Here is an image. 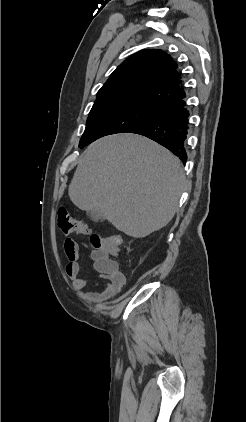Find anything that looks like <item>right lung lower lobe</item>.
<instances>
[{"label":"right lung lower lobe","mask_w":246,"mask_h":422,"mask_svg":"<svg viewBox=\"0 0 246 422\" xmlns=\"http://www.w3.org/2000/svg\"><path fill=\"white\" fill-rule=\"evenodd\" d=\"M184 97L185 95L162 105L159 107L160 114L157 117L129 131L163 145L178 156L183 163L187 160L184 140L187 135L189 116Z\"/></svg>","instance_id":"right-lung-lower-lobe-1"}]
</instances>
